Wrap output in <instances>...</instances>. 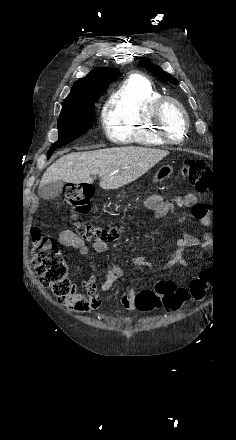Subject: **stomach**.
Returning <instances> with one entry per match:
<instances>
[{
  "label": "stomach",
  "instance_id": "1",
  "mask_svg": "<svg viewBox=\"0 0 236 440\" xmlns=\"http://www.w3.org/2000/svg\"><path fill=\"white\" fill-rule=\"evenodd\" d=\"M173 166L169 164H165L161 166L154 175V182H162L163 180L170 177L173 173Z\"/></svg>",
  "mask_w": 236,
  "mask_h": 440
}]
</instances>
